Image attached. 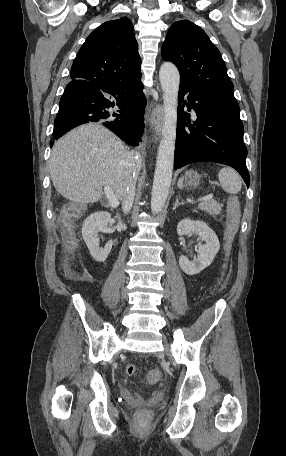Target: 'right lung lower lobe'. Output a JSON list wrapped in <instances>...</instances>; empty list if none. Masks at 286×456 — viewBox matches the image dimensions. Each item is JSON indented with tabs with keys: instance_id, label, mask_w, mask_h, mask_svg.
Listing matches in <instances>:
<instances>
[{
	"instance_id": "1",
	"label": "right lung lower lobe",
	"mask_w": 286,
	"mask_h": 456,
	"mask_svg": "<svg viewBox=\"0 0 286 456\" xmlns=\"http://www.w3.org/2000/svg\"><path fill=\"white\" fill-rule=\"evenodd\" d=\"M145 106L141 79L108 89L89 81L72 80L61 97L50 146L71 129L89 122L102 123L126 143L136 146L144 132Z\"/></svg>"
}]
</instances>
